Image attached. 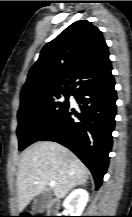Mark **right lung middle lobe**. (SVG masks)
I'll use <instances>...</instances> for the list:
<instances>
[{"mask_svg": "<svg viewBox=\"0 0 132 217\" xmlns=\"http://www.w3.org/2000/svg\"><path fill=\"white\" fill-rule=\"evenodd\" d=\"M72 93L26 96L21 98L18 111L17 135L19 150L22 151L51 129L60 116L68 109V98Z\"/></svg>", "mask_w": 132, "mask_h": 217, "instance_id": "1", "label": "right lung middle lobe"}]
</instances>
